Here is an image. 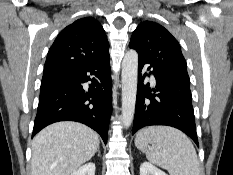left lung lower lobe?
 I'll return each instance as SVG.
<instances>
[{
    "label": "left lung lower lobe",
    "mask_w": 233,
    "mask_h": 175,
    "mask_svg": "<svg viewBox=\"0 0 233 175\" xmlns=\"http://www.w3.org/2000/svg\"><path fill=\"white\" fill-rule=\"evenodd\" d=\"M145 64L150 63L139 56V82L132 134L145 126L167 125L186 133L198 146L190 80L171 75L150 64L148 70L153 69L150 73L156 79V88L151 89L149 83L143 84L148 74L141 76ZM151 91L156 94H151Z\"/></svg>",
    "instance_id": "1"
}]
</instances>
